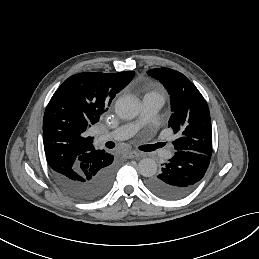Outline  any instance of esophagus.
I'll use <instances>...</instances> for the list:
<instances>
[{
	"label": "esophagus",
	"instance_id": "34e87169",
	"mask_svg": "<svg viewBox=\"0 0 259 259\" xmlns=\"http://www.w3.org/2000/svg\"><path fill=\"white\" fill-rule=\"evenodd\" d=\"M140 156V153L136 151H130L124 154V157L127 159H134Z\"/></svg>",
	"mask_w": 259,
	"mask_h": 259
}]
</instances>
